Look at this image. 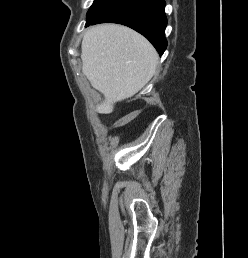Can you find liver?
Wrapping results in <instances>:
<instances>
[{
  "label": "liver",
  "mask_w": 248,
  "mask_h": 258,
  "mask_svg": "<svg viewBox=\"0 0 248 258\" xmlns=\"http://www.w3.org/2000/svg\"><path fill=\"white\" fill-rule=\"evenodd\" d=\"M82 72L104 95L96 106L108 114L115 103L132 97L155 74L159 56L150 42L132 29L115 24L90 28L82 40Z\"/></svg>",
  "instance_id": "obj_1"
}]
</instances>
